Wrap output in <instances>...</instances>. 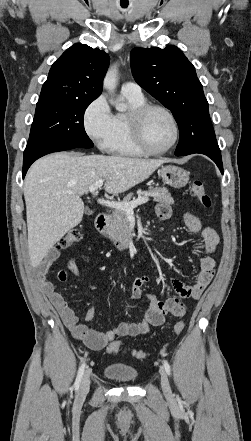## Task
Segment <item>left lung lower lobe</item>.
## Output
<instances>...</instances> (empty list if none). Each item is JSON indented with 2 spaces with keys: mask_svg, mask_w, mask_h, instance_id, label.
<instances>
[{
  "mask_svg": "<svg viewBox=\"0 0 251 441\" xmlns=\"http://www.w3.org/2000/svg\"><path fill=\"white\" fill-rule=\"evenodd\" d=\"M180 131L175 155L201 153L211 158L223 173L222 158L211 120L201 119Z\"/></svg>",
  "mask_w": 251,
  "mask_h": 441,
  "instance_id": "0a47b994",
  "label": "left lung lower lobe"
}]
</instances>
